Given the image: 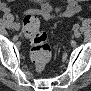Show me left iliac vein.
Returning a JSON list of instances; mask_svg holds the SVG:
<instances>
[{
	"label": "left iliac vein",
	"instance_id": "obj_1",
	"mask_svg": "<svg viewBox=\"0 0 91 91\" xmlns=\"http://www.w3.org/2000/svg\"><path fill=\"white\" fill-rule=\"evenodd\" d=\"M74 36L75 37H80L81 36V32L79 30H74Z\"/></svg>",
	"mask_w": 91,
	"mask_h": 91
}]
</instances>
